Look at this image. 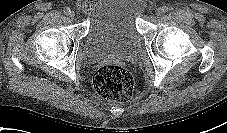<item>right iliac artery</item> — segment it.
<instances>
[{"instance_id":"right-iliac-artery-1","label":"right iliac artery","mask_w":227,"mask_h":133,"mask_svg":"<svg viewBox=\"0 0 227 133\" xmlns=\"http://www.w3.org/2000/svg\"><path fill=\"white\" fill-rule=\"evenodd\" d=\"M64 14L65 15H69V13L71 12L70 8L69 7H65L64 10H63Z\"/></svg>"}]
</instances>
